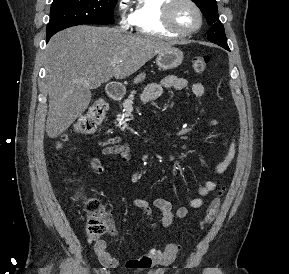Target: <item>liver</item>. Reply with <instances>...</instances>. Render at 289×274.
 <instances>
[{"label": "liver", "instance_id": "1", "mask_svg": "<svg viewBox=\"0 0 289 274\" xmlns=\"http://www.w3.org/2000/svg\"><path fill=\"white\" fill-rule=\"evenodd\" d=\"M171 48L161 39L126 35L112 27L81 25L55 34L46 47L48 137L57 138L85 112L93 82L127 78Z\"/></svg>", "mask_w": 289, "mask_h": 274}]
</instances>
